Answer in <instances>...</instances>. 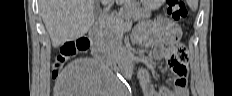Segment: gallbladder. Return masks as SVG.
<instances>
[{
    "mask_svg": "<svg viewBox=\"0 0 232 96\" xmlns=\"http://www.w3.org/2000/svg\"><path fill=\"white\" fill-rule=\"evenodd\" d=\"M94 15H95V18L97 19L99 17V13H100V9L97 5L94 6Z\"/></svg>",
    "mask_w": 232,
    "mask_h": 96,
    "instance_id": "1",
    "label": "gallbladder"
}]
</instances>
